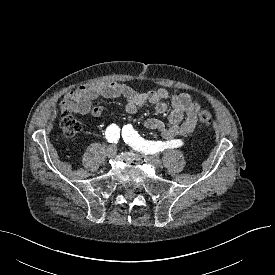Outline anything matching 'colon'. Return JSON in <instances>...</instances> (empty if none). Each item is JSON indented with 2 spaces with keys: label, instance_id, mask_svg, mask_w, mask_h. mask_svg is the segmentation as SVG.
<instances>
[{
  "label": "colon",
  "instance_id": "5ec220e1",
  "mask_svg": "<svg viewBox=\"0 0 275 275\" xmlns=\"http://www.w3.org/2000/svg\"><path fill=\"white\" fill-rule=\"evenodd\" d=\"M197 118L204 126H209L213 122V115L210 110L203 109L198 112ZM83 128L80 120L75 118L71 113L65 112L61 118V129L63 136L67 139L75 137Z\"/></svg>",
  "mask_w": 275,
  "mask_h": 275
}]
</instances>
